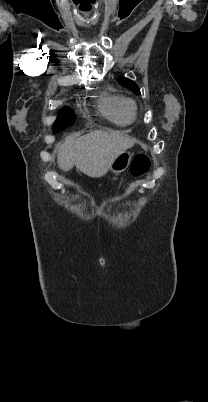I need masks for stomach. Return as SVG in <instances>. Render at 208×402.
I'll return each instance as SVG.
<instances>
[{
	"label": "stomach",
	"mask_w": 208,
	"mask_h": 402,
	"mask_svg": "<svg viewBox=\"0 0 208 402\" xmlns=\"http://www.w3.org/2000/svg\"><path fill=\"white\" fill-rule=\"evenodd\" d=\"M131 162V154L130 152H122L120 156H117L115 160H113L109 170L110 172H114V174H120V172H124L127 170L129 164Z\"/></svg>",
	"instance_id": "0dacf381"
}]
</instances>
